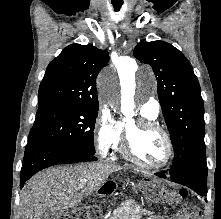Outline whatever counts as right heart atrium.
<instances>
[{
    "label": "right heart atrium",
    "instance_id": "d8ad5b80",
    "mask_svg": "<svg viewBox=\"0 0 221 219\" xmlns=\"http://www.w3.org/2000/svg\"><path fill=\"white\" fill-rule=\"evenodd\" d=\"M121 133V124L111 111L102 106L94 123V140L100 155L106 156L115 149Z\"/></svg>",
    "mask_w": 221,
    "mask_h": 219
}]
</instances>
